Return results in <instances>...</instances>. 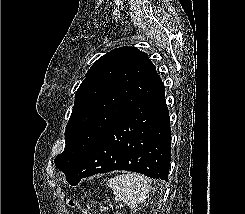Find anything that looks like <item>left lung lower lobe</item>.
I'll list each match as a JSON object with an SVG mask.
<instances>
[{"label": "left lung lower lobe", "mask_w": 245, "mask_h": 214, "mask_svg": "<svg viewBox=\"0 0 245 214\" xmlns=\"http://www.w3.org/2000/svg\"><path fill=\"white\" fill-rule=\"evenodd\" d=\"M169 111L162 84L112 123L66 175L70 185L114 170L168 181L171 160Z\"/></svg>", "instance_id": "1"}]
</instances>
